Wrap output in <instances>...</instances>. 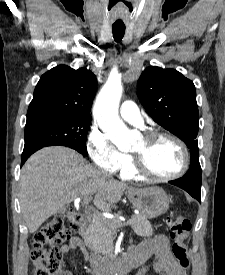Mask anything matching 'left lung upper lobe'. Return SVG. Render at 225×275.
I'll return each instance as SVG.
<instances>
[{"mask_svg": "<svg viewBox=\"0 0 225 275\" xmlns=\"http://www.w3.org/2000/svg\"><path fill=\"white\" fill-rule=\"evenodd\" d=\"M137 92L153 120L182 139L190 149V169H201L196 140L199 114L193 82L174 69L150 66L141 74Z\"/></svg>", "mask_w": 225, "mask_h": 275, "instance_id": "1", "label": "left lung upper lobe"}]
</instances>
